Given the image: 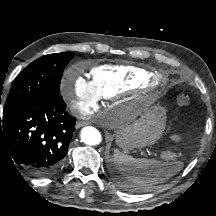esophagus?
Returning a JSON list of instances; mask_svg holds the SVG:
<instances>
[{
	"label": "esophagus",
	"instance_id": "34e87169",
	"mask_svg": "<svg viewBox=\"0 0 216 216\" xmlns=\"http://www.w3.org/2000/svg\"><path fill=\"white\" fill-rule=\"evenodd\" d=\"M88 123L85 122V121H78L76 123V128H80V127H83V126H86Z\"/></svg>",
	"mask_w": 216,
	"mask_h": 216
}]
</instances>
